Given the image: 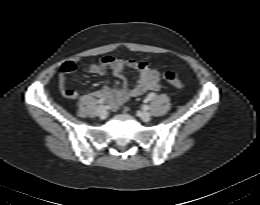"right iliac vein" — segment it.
I'll return each mask as SVG.
<instances>
[{
  "mask_svg": "<svg viewBox=\"0 0 260 205\" xmlns=\"http://www.w3.org/2000/svg\"><path fill=\"white\" fill-rule=\"evenodd\" d=\"M97 115H98L100 118H102V119L106 118V116H107V110H106V108H105L104 106H99V107L97 108Z\"/></svg>",
  "mask_w": 260,
  "mask_h": 205,
  "instance_id": "obj_1",
  "label": "right iliac vein"
}]
</instances>
